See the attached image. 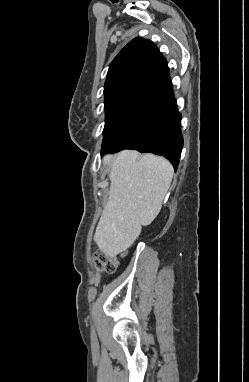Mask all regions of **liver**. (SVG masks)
Listing matches in <instances>:
<instances>
[{"label": "liver", "instance_id": "liver-1", "mask_svg": "<svg viewBox=\"0 0 249 382\" xmlns=\"http://www.w3.org/2000/svg\"><path fill=\"white\" fill-rule=\"evenodd\" d=\"M103 164H111L110 194L94 241L105 255L113 258L126 251L139 237L142 226L157 217L174 171L165 158L140 156L133 150L107 155Z\"/></svg>", "mask_w": 249, "mask_h": 382}]
</instances>
